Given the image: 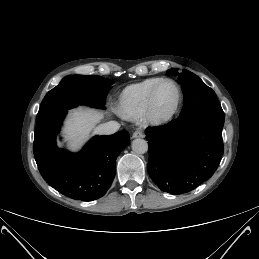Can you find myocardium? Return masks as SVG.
I'll return each instance as SVG.
<instances>
[{"label": "myocardium", "mask_w": 259, "mask_h": 259, "mask_svg": "<svg viewBox=\"0 0 259 259\" xmlns=\"http://www.w3.org/2000/svg\"><path fill=\"white\" fill-rule=\"evenodd\" d=\"M167 82L171 83L175 87L176 93H177V98H176L174 107L169 112L161 113L156 109V103H155L156 94H157L159 87L163 83H167ZM181 102H182V91H181L179 84L173 79L162 78L160 81H158L155 84V86L152 88V90L149 94L147 106H146V109L144 112V117L150 124H153V125H162V124L168 123L178 113L179 108L181 106Z\"/></svg>", "instance_id": "myocardium-1"}]
</instances>
